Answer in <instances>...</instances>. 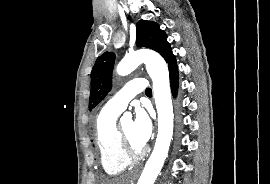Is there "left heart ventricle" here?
I'll use <instances>...</instances> for the list:
<instances>
[{"label": "left heart ventricle", "mask_w": 270, "mask_h": 184, "mask_svg": "<svg viewBox=\"0 0 270 184\" xmlns=\"http://www.w3.org/2000/svg\"><path fill=\"white\" fill-rule=\"evenodd\" d=\"M121 127H122L124 133L126 134V136L128 137V139L130 140V142L132 143V145L135 148H141L143 146L135 138V135H134V125H133V121L132 120H125L121 124Z\"/></svg>", "instance_id": "b2bd125f"}]
</instances>
